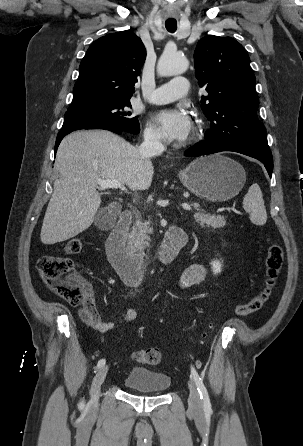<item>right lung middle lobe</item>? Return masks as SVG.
<instances>
[{"mask_svg": "<svg viewBox=\"0 0 303 446\" xmlns=\"http://www.w3.org/2000/svg\"><path fill=\"white\" fill-rule=\"evenodd\" d=\"M125 107H131L130 100L117 101L80 109H68L61 129H66L85 121H103L113 123L131 134L140 132L138 118Z\"/></svg>", "mask_w": 303, "mask_h": 446, "instance_id": "obj_1", "label": "right lung middle lobe"}]
</instances>
